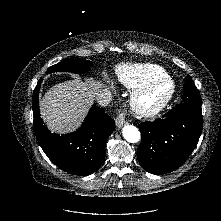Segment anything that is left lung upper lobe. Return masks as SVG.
I'll return each instance as SVG.
<instances>
[{"mask_svg":"<svg viewBox=\"0 0 221 221\" xmlns=\"http://www.w3.org/2000/svg\"><path fill=\"white\" fill-rule=\"evenodd\" d=\"M183 102L195 105L201 104L200 93L189 75H187L184 85Z\"/></svg>","mask_w":221,"mask_h":221,"instance_id":"left-lung-upper-lobe-1","label":"left lung upper lobe"}]
</instances>
